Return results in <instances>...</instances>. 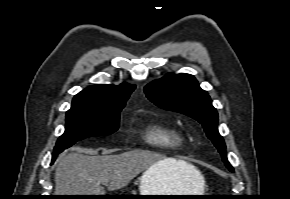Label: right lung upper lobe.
Listing matches in <instances>:
<instances>
[{"label": "right lung upper lobe", "mask_w": 290, "mask_h": 199, "mask_svg": "<svg viewBox=\"0 0 290 199\" xmlns=\"http://www.w3.org/2000/svg\"><path fill=\"white\" fill-rule=\"evenodd\" d=\"M135 85H95L81 91L72 101L71 110L112 112L122 110Z\"/></svg>", "instance_id": "1"}]
</instances>
